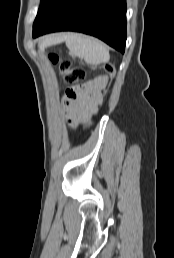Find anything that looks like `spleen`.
<instances>
[{
    "label": "spleen",
    "mask_w": 174,
    "mask_h": 258,
    "mask_svg": "<svg viewBox=\"0 0 174 258\" xmlns=\"http://www.w3.org/2000/svg\"><path fill=\"white\" fill-rule=\"evenodd\" d=\"M66 45L73 56L84 58L90 64L105 63L110 59L107 47L93 37L77 33L68 34Z\"/></svg>",
    "instance_id": "1"
}]
</instances>
